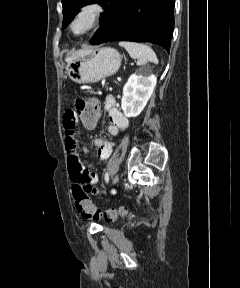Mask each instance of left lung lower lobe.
Returning <instances> with one entry per match:
<instances>
[{
    "label": "left lung lower lobe",
    "mask_w": 240,
    "mask_h": 288,
    "mask_svg": "<svg viewBox=\"0 0 240 288\" xmlns=\"http://www.w3.org/2000/svg\"><path fill=\"white\" fill-rule=\"evenodd\" d=\"M175 0H111L92 45L111 41L150 42L170 49Z\"/></svg>",
    "instance_id": "0a47b994"
}]
</instances>
